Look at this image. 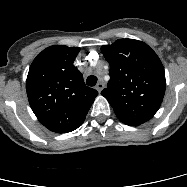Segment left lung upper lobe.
<instances>
[{
  "label": "left lung upper lobe",
  "mask_w": 187,
  "mask_h": 187,
  "mask_svg": "<svg viewBox=\"0 0 187 187\" xmlns=\"http://www.w3.org/2000/svg\"><path fill=\"white\" fill-rule=\"evenodd\" d=\"M101 51L111 67L110 81L101 94L119 120L129 126L150 120L160 108L166 87L159 57L134 39H119Z\"/></svg>",
  "instance_id": "5c2ea615"
}]
</instances>
